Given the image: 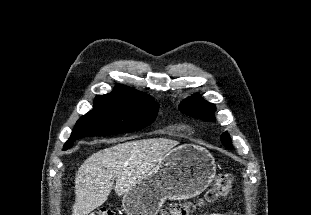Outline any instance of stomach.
I'll return each mask as SVG.
<instances>
[{
	"label": "stomach",
	"instance_id": "obj_1",
	"mask_svg": "<svg viewBox=\"0 0 311 215\" xmlns=\"http://www.w3.org/2000/svg\"><path fill=\"white\" fill-rule=\"evenodd\" d=\"M210 152L198 145L172 149L145 179L124 194L127 215H157L166 200H183L201 194L216 174Z\"/></svg>",
	"mask_w": 311,
	"mask_h": 215
}]
</instances>
